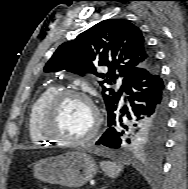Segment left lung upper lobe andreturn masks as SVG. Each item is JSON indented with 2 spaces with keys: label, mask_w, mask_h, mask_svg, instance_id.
Returning a JSON list of instances; mask_svg holds the SVG:
<instances>
[{
  "label": "left lung upper lobe",
  "mask_w": 188,
  "mask_h": 189,
  "mask_svg": "<svg viewBox=\"0 0 188 189\" xmlns=\"http://www.w3.org/2000/svg\"><path fill=\"white\" fill-rule=\"evenodd\" d=\"M155 59L153 53L140 31L129 21L122 19L104 20L77 36L76 39L63 43L58 47L47 62L45 72L67 70L84 75L92 73L101 78L100 85L104 82H115V70L124 77L123 86L118 92L103 87V99L108 115L115 110L129 77L139 68L145 67ZM108 66L107 74H99L96 66ZM166 125L153 127L143 125L131 128L132 135L127 148L147 147L150 151L159 153L164 143Z\"/></svg>",
  "instance_id": "obj_1"
}]
</instances>
